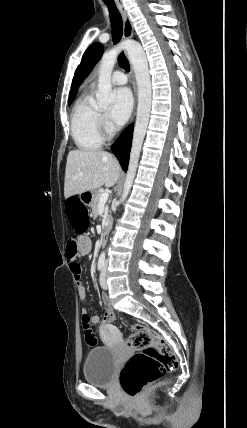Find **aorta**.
<instances>
[{"instance_id": "762f6f07", "label": "aorta", "mask_w": 247, "mask_h": 428, "mask_svg": "<svg viewBox=\"0 0 247 428\" xmlns=\"http://www.w3.org/2000/svg\"><path fill=\"white\" fill-rule=\"evenodd\" d=\"M129 61L135 72L138 93L137 116L133 132L132 147L128 170L124 182L123 194L120 202H124L132 187L142 144L145 138L151 111V81L145 52L139 45L126 46ZM119 48L106 52L99 66L98 92L96 94L97 104L100 108H106L112 102L111 97V74L117 61ZM104 255V253H102Z\"/></svg>"}]
</instances>
